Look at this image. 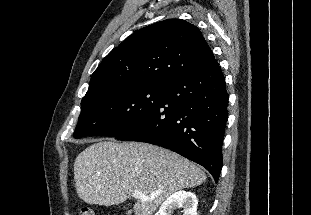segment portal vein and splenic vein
<instances>
[{
    "label": "portal vein and splenic vein",
    "instance_id": "obj_1",
    "mask_svg": "<svg viewBox=\"0 0 311 215\" xmlns=\"http://www.w3.org/2000/svg\"><path fill=\"white\" fill-rule=\"evenodd\" d=\"M132 196L136 199H140V200H143V201H147L149 200V197H147L145 194H143L141 191L139 190H134L132 192Z\"/></svg>",
    "mask_w": 311,
    "mask_h": 215
}]
</instances>
